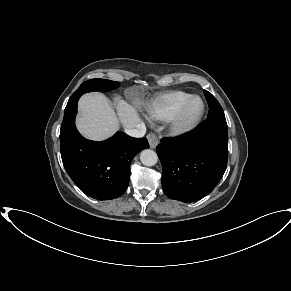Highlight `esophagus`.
<instances>
[{
  "label": "esophagus",
  "mask_w": 291,
  "mask_h": 291,
  "mask_svg": "<svg viewBox=\"0 0 291 291\" xmlns=\"http://www.w3.org/2000/svg\"><path fill=\"white\" fill-rule=\"evenodd\" d=\"M147 139H148L150 148H152V149L156 148V146L159 143V140H158L157 136L154 133H150L147 136Z\"/></svg>",
  "instance_id": "obj_1"
}]
</instances>
